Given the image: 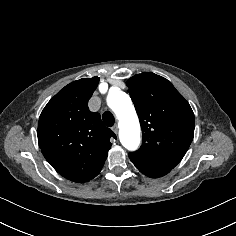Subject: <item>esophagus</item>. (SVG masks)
Returning a JSON list of instances; mask_svg holds the SVG:
<instances>
[{"label":"esophagus","mask_w":236,"mask_h":236,"mask_svg":"<svg viewBox=\"0 0 236 236\" xmlns=\"http://www.w3.org/2000/svg\"><path fill=\"white\" fill-rule=\"evenodd\" d=\"M112 130L117 134V132H118V126H117V125H114V126L112 127Z\"/></svg>","instance_id":"34e87169"}]
</instances>
